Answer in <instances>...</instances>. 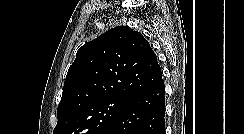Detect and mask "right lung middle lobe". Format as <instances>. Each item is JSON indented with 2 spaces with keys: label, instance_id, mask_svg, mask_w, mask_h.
<instances>
[{
  "label": "right lung middle lobe",
  "instance_id": "dd1d6c3e",
  "mask_svg": "<svg viewBox=\"0 0 244 134\" xmlns=\"http://www.w3.org/2000/svg\"><path fill=\"white\" fill-rule=\"evenodd\" d=\"M127 98L111 97L90 103L59 119L53 134H102L118 116Z\"/></svg>",
  "mask_w": 244,
  "mask_h": 134
}]
</instances>
